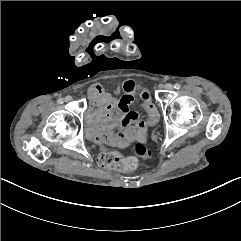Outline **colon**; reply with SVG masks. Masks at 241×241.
I'll return each mask as SVG.
<instances>
[{
    "label": "colon",
    "mask_w": 241,
    "mask_h": 241,
    "mask_svg": "<svg viewBox=\"0 0 241 241\" xmlns=\"http://www.w3.org/2000/svg\"><path fill=\"white\" fill-rule=\"evenodd\" d=\"M134 154L144 157H152V153L147 150L142 144L133 146ZM136 160L133 157H125L116 152H103L97 157V164L105 169H130L135 166Z\"/></svg>",
    "instance_id": "5ec220e1"
}]
</instances>
